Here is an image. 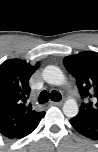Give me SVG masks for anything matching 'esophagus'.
<instances>
[{
    "label": "esophagus",
    "mask_w": 98,
    "mask_h": 152,
    "mask_svg": "<svg viewBox=\"0 0 98 152\" xmlns=\"http://www.w3.org/2000/svg\"><path fill=\"white\" fill-rule=\"evenodd\" d=\"M49 104L53 105V106H61L63 104V102H61V101L60 102L50 101Z\"/></svg>",
    "instance_id": "obj_1"
}]
</instances>
